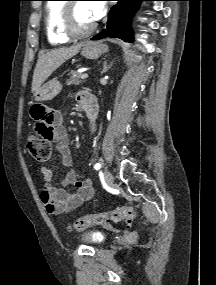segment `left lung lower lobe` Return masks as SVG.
Here are the masks:
<instances>
[{"mask_svg":"<svg viewBox=\"0 0 216 285\" xmlns=\"http://www.w3.org/2000/svg\"><path fill=\"white\" fill-rule=\"evenodd\" d=\"M109 13L108 22L105 29L92 38L98 40L106 37L121 38L126 42L133 40L130 26L132 15L135 13L142 1L152 0H116Z\"/></svg>","mask_w":216,"mask_h":285,"instance_id":"1","label":"left lung lower lobe"}]
</instances>
